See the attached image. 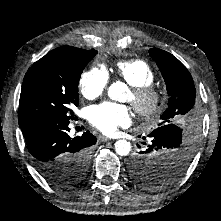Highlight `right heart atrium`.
Segmentation results:
<instances>
[{
    "mask_svg": "<svg viewBox=\"0 0 221 221\" xmlns=\"http://www.w3.org/2000/svg\"><path fill=\"white\" fill-rule=\"evenodd\" d=\"M109 81V74L104 67H93L81 75L79 88L85 98L95 99L105 92Z\"/></svg>",
    "mask_w": 221,
    "mask_h": 221,
    "instance_id": "right-heart-atrium-1",
    "label": "right heart atrium"
}]
</instances>
